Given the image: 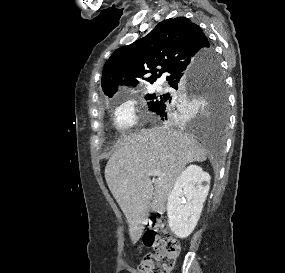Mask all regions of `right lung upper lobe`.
Returning <instances> with one entry per match:
<instances>
[{
  "label": "right lung upper lobe",
  "mask_w": 285,
  "mask_h": 273,
  "mask_svg": "<svg viewBox=\"0 0 285 273\" xmlns=\"http://www.w3.org/2000/svg\"><path fill=\"white\" fill-rule=\"evenodd\" d=\"M212 52L207 37L197 24L186 17L164 20L145 37L113 53L102 73V89L105 95L112 97L120 84L135 85L138 81L131 79L146 73L152 74L147 79L150 83L164 72L170 82ZM123 77L127 78L123 81Z\"/></svg>",
  "instance_id": "1"
}]
</instances>
